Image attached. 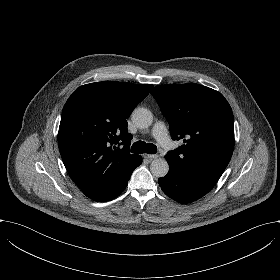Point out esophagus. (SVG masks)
I'll return each mask as SVG.
<instances>
[{
  "mask_svg": "<svg viewBox=\"0 0 280 280\" xmlns=\"http://www.w3.org/2000/svg\"><path fill=\"white\" fill-rule=\"evenodd\" d=\"M143 157L146 158V159H149V160H153V159L158 158L159 155L158 154H147V153H145V154H143Z\"/></svg>",
  "mask_w": 280,
  "mask_h": 280,
  "instance_id": "obj_1",
  "label": "esophagus"
}]
</instances>
